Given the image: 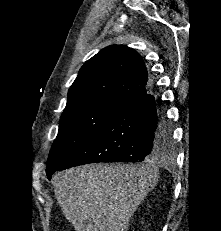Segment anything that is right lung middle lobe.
<instances>
[{
    "instance_id": "obj_1",
    "label": "right lung middle lobe",
    "mask_w": 221,
    "mask_h": 231,
    "mask_svg": "<svg viewBox=\"0 0 221 231\" xmlns=\"http://www.w3.org/2000/svg\"><path fill=\"white\" fill-rule=\"evenodd\" d=\"M130 101L114 96H96L78 101L64 109L59 131L47 162V173L63 164L99 128Z\"/></svg>"
}]
</instances>
